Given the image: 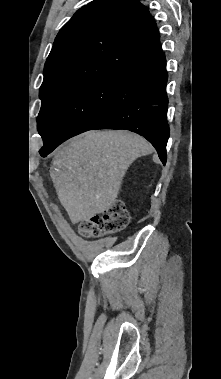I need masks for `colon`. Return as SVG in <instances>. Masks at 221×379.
I'll return each instance as SVG.
<instances>
[{"mask_svg":"<svg viewBox=\"0 0 221 379\" xmlns=\"http://www.w3.org/2000/svg\"><path fill=\"white\" fill-rule=\"evenodd\" d=\"M129 222V214L123 201H115L103 213L82 221L79 233L87 238L101 237L123 230Z\"/></svg>","mask_w":221,"mask_h":379,"instance_id":"5ec220e1","label":"colon"}]
</instances>
